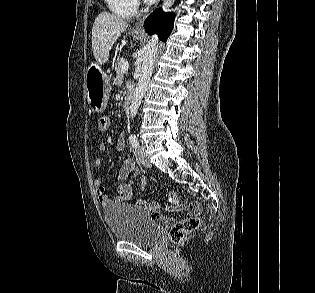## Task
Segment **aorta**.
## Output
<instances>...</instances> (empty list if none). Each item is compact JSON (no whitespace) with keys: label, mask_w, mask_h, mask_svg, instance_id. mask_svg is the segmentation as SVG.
<instances>
[{"label":"aorta","mask_w":315,"mask_h":293,"mask_svg":"<svg viewBox=\"0 0 315 293\" xmlns=\"http://www.w3.org/2000/svg\"><path fill=\"white\" fill-rule=\"evenodd\" d=\"M175 0H163L162 8L168 12ZM158 50V37L154 35L147 44V49L143 57L140 78L130 105V116H136L142 98L144 97L154 68V60Z\"/></svg>","instance_id":"1"}]
</instances>
